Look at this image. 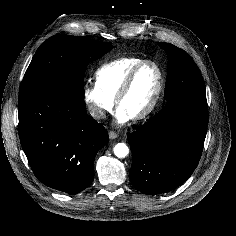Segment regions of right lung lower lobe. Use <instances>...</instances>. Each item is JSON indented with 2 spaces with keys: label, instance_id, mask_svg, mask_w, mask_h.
Wrapping results in <instances>:
<instances>
[{
  "label": "right lung lower lobe",
  "instance_id": "1",
  "mask_svg": "<svg viewBox=\"0 0 236 236\" xmlns=\"http://www.w3.org/2000/svg\"><path fill=\"white\" fill-rule=\"evenodd\" d=\"M19 136L36 178L77 194L94 177L96 153L108 142L106 129L90 118L82 96L39 89L19 96Z\"/></svg>",
  "mask_w": 236,
  "mask_h": 236
}]
</instances>
